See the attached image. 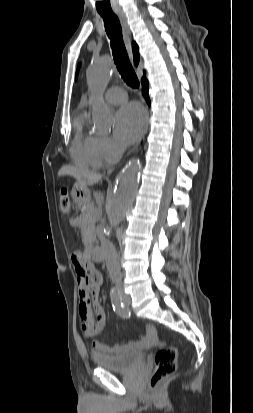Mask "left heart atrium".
Segmentation results:
<instances>
[{"label": "left heart atrium", "mask_w": 253, "mask_h": 413, "mask_svg": "<svg viewBox=\"0 0 253 413\" xmlns=\"http://www.w3.org/2000/svg\"><path fill=\"white\" fill-rule=\"evenodd\" d=\"M145 124L146 115L140 105H125L116 114V137L123 144L133 143L143 133Z\"/></svg>", "instance_id": "1"}]
</instances>
